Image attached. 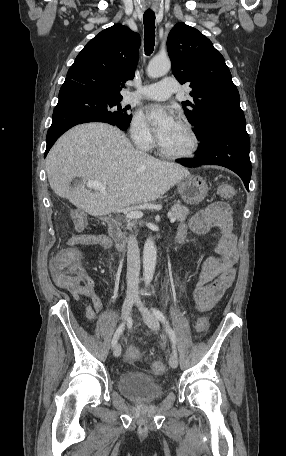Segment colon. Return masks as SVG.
<instances>
[{
    "label": "colon",
    "mask_w": 286,
    "mask_h": 456,
    "mask_svg": "<svg viewBox=\"0 0 286 456\" xmlns=\"http://www.w3.org/2000/svg\"><path fill=\"white\" fill-rule=\"evenodd\" d=\"M217 191L220 196L231 197L235 194V189L232 185L221 184ZM75 226L78 229H83L86 221L83 216L76 215L74 218ZM52 268L54 270L55 282L62 288L76 291L80 289L86 280V273L80 265V254L72 246L62 249L53 259ZM209 322L206 317H201L196 321L195 328L199 333H204L208 328ZM140 352L129 350L126 354L128 363H136L140 360ZM155 375H162L165 372V365L161 361H155L152 365Z\"/></svg>",
    "instance_id": "5ec220e1"
}]
</instances>
